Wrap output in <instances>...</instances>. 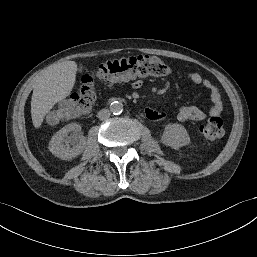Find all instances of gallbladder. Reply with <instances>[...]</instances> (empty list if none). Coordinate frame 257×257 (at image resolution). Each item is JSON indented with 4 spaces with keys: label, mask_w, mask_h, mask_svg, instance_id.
<instances>
[{
    "label": "gallbladder",
    "mask_w": 257,
    "mask_h": 257,
    "mask_svg": "<svg viewBox=\"0 0 257 257\" xmlns=\"http://www.w3.org/2000/svg\"><path fill=\"white\" fill-rule=\"evenodd\" d=\"M82 69H83V68L81 67V68H80V71H82Z\"/></svg>",
    "instance_id": "1"
}]
</instances>
